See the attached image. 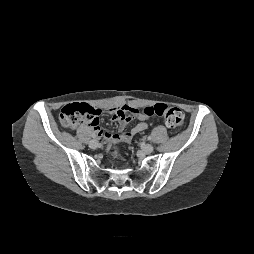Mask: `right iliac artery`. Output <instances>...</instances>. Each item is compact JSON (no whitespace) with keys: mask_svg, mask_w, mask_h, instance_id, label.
<instances>
[{"mask_svg":"<svg viewBox=\"0 0 254 254\" xmlns=\"http://www.w3.org/2000/svg\"><path fill=\"white\" fill-rule=\"evenodd\" d=\"M93 138H96V136H95V135H93Z\"/></svg>","mask_w":254,"mask_h":254,"instance_id":"82829eb1","label":"right iliac artery"}]
</instances>
